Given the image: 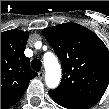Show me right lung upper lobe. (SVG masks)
<instances>
[{
	"mask_svg": "<svg viewBox=\"0 0 109 109\" xmlns=\"http://www.w3.org/2000/svg\"><path fill=\"white\" fill-rule=\"evenodd\" d=\"M29 32L8 30L1 33V109L20 100L29 81L38 74L31 70L24 50Z\"/></svg>",
	"mask_w": 109,
	"mask_h": 109,
	"instance_id": "obj_1",
	"label": "right lung upper lobe"
}]
</instances>
